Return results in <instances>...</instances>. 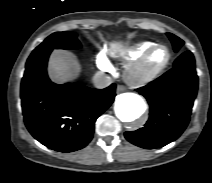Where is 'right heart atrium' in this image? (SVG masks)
I'll use <instances>...</instances> for the list:
<instances>
[{
    "label": "right heart atrium",
    "instance_id": "obj_1",
    "mask_svg": "<svg viewBox=\"0 0 212 183\" xmlns=\"http://www.w3.org/2000/svg\"><path fill=\"white\" fill-rule=\"evenodd\" d=\"M98 64H99V67L103 70H108L109 69V64L108 62L106 61V59L104 58V56L100 55L98 57Z\"/></svg>",
    "mask_w": 212,
    "mask_h": 183
}]
</instances>
